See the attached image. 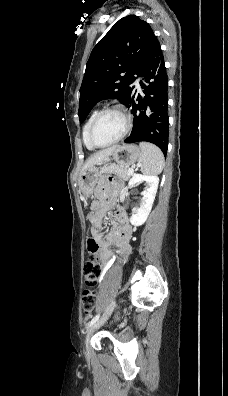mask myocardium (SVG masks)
<instances>
[{"label":"myocardium","mask_w":228,"mask_h":396,"mask_svg":"<svg viewBox=\"0 0 228 396\" xmlns=\"http://www.w3.org/2000/svg\"><path fill=\"white\" fill-rule=\"evenodd\" d=\"M109 112H116L123 118V120H124V129H123L122 133L115 140H113V141H111V142H109L107 144H103V145L97 144L94 141V139H93L94 128H95L98 120L104 114L109 113ZM131 126H132L131 119H130L129 115L127 114V112L125 111V109L123 107H121L119 105H113V106L106 107V108L100 110L96 114V116L94 117V119H93V121H92V123L90 125L89 131H88L89 143H90V145L93 148H106V147H109L111 145H114V144L120 142L122 139H124L126 137V135L129 133V131L131 129Z\"/></svg>","instance_id":"obj_1"}]
</instances>
